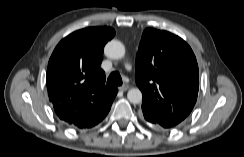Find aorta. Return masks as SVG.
I'll return each mask as SVG.
<instances>
[{"mask_svg":"<svg viewBox=\"0 0 244 157\" xmlns=\"http://www.w3.org/2000/svg\"><path fill=\"white\" fill-rule=\"evenodd\" d=\"M104 53L111 59H121L125 55V47L118 40L109 41L104 48ZM128 100L133 104H138L142 101V92L138 88H132L127 93Z\"/></svg>","mask_w":244,"mask_h":157,"instance_id":"1","label":"aorta"}]
</instances>
